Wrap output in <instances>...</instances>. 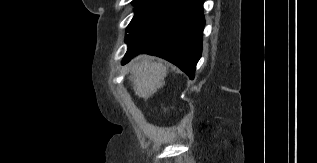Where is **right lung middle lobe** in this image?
<instances>
[{"mask_svg":"<svg viewBox=\"0 0 317 163\" xmlns=\"http://www.w3.org/2000/svg\"><path fill=\"white\" fill-rule=\"evenodd\" d=\"M176 1L172 0H134L135 15L127 27L126 39L139 33L168 11Z\"/></svg>","mask_w":317,"mask_h":163,"instance_id":"dd1d6c3e","label":"right lung middle lobe"}]
</instances>
